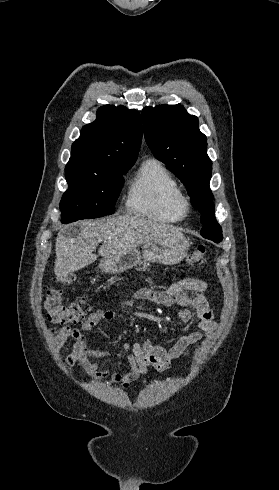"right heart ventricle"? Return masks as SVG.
Segmentation results:
<instances>
[{"label":"right heart ventricle","mask_w":279,"mask_h":490,"mask_svg":"<svg viewBox=\"0 0 279 490\" xmlns=\"http://www.w3.org/2000/svg\"><path fill=\"white\" fill-rule=\"evenodd\" d=\"M181 183L159 159L148 158L138 167L129 187L128 208L134 215L163 224L185 217L179 209L184 197Z\"/></svg>","instance_id":"right-heart-ventricle-1"}]
</instances>
